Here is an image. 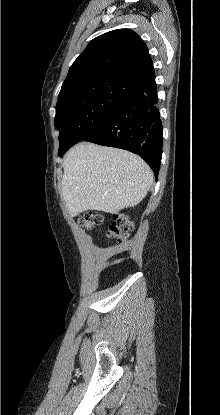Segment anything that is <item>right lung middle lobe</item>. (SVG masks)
Masks as SVG:
<instances>
[{
  "mask_svg": "<svg viewBox=\"0 0 220 415\" xmlns=\"http://www.w3.org/2000/svg\"><path fill=\"white\" fill-rule=\"evenodd\" d=\"M136 89L118 78H99L60 91L54 120L59 151L96 132L108 113Z\"/></svg>",
  "mask_w": 220,
  "mask_h": 415,
  "instance_id": "right-lung-middle-lobe-1",
  "label": "right lung middle lobe"
}]
</instances>
